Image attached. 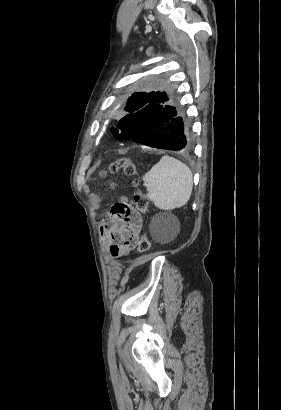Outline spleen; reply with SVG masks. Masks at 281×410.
I'll return each mask as SVG.
<instances>
[{
  "instance_id": "obj_1",
  "label": "spleen",
  "mask_w": 281,
  "mask_h": 410,
  "mask_svg": "<svg viewBox=\"0 0 281 410\" xmlns=\"http://www.w3.org/2000/svg\"><path fill=\"white\" fill-rule=\"evenodd\" d=\"M143 181L148 198L162 210L184 206L193 187V175L189 167L167 155L143 176Z\"/></svg>"
}]
</instances>
